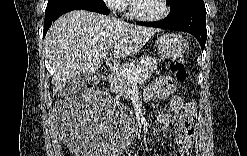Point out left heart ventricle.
Segmentation results:
<instances>
[{
  "instance_id": "1",
  "label": "left heart ventricle",
  "mask_w": 247,
  "mask_h": 156,
  "mask_svg": "<svg viewBox=\"0 0 247 156\" xmlns=\"http://www.w3.org/2000/svg\"><path fill=\"white\" fill-rule=\"evenodd\" d=\"M134 6L140 15H154L162 10L161 2L157 0L135 1Z\"/></svg>"
}]
</instances>
